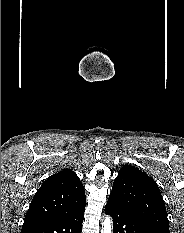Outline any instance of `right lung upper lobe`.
Wrapping results in <instances>:
<instances>
[{
	"label": "right lung upper lobe",
	"instance_id": "cb5924a9",
	"mask_svg": "<svg viewBox=\"0 0 184 233\" xmlns=\"http://www.w3.org/2000/svg\"><path fill=\"white\" fill-rule=\"evenodd\" d=\"M85 199L84 187L71 169L50 176L34 195L22 231L84 213Z\"/></svg>",
	"mask_w": 184,
	"mask_h": 233
}]
</instances>
